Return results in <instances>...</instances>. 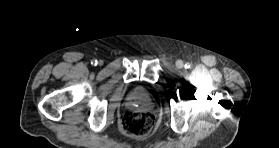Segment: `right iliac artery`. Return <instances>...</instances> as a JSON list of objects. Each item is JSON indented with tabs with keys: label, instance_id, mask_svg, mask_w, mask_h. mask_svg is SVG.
Instances as JSON below:
<instances>
[{
	"label": "right iliac artery",
	"instance_id": "obj_1",
	"mask_svg": "<svg viewBox=\"0 0 279 148\" xmlns=\"http://www.w3.org/2000/svg\"><path fill=\"white\" fill-rule=\"evenodd\" d=\"M97 63H98V61H97L96 59H93V60L91 61V64H92L93 66H96Z\"/></svg>",
	"mask_w": 279,
	"mask_h": 148
}]
</instances>
